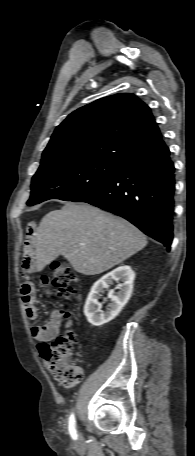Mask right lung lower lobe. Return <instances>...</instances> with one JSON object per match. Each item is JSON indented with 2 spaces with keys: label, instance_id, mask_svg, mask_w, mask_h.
Returning a JSON list of instances; mask_svg holds the SVG:
<instances>
[{
  "label": "right lung lower lobe",
  "instance_id": "98d812e1",
  "mask_svg": "<svg viewBox=\"0 0 195 456\" xmlns=\"http://www.w3.org/2000/svg\"><path fill=\"white\" fill-rule=\"evenodd\" d=\"M167 146L121 165L110 179L73 202L121 216L170 249L175 175Z\"/></svg>",
  "mask_w": 195,
  "mask_h": 456
}]
</instances>
